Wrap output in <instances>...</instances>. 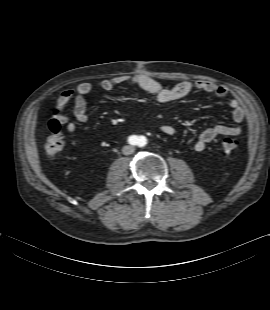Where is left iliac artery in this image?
<instances>
[{
    "mask_svg": "<svg viewBox=\"0 0 270 310\" xmlns=\"http://www.w3.org/2000/svg\"><path fill=\"white\" fill-rule=\"evenodd\" d=\"M140 143L141 144L144 143V139L143 138L140 139Z\"/></svg>",
    "mask_w": 270,
    "mask_h": 310,
    "instance_id": "44dca946",
    "label": "left iliac artery"
}]
</instances>
